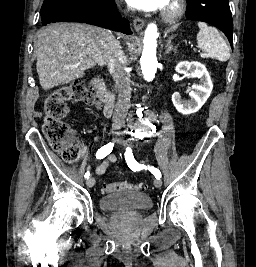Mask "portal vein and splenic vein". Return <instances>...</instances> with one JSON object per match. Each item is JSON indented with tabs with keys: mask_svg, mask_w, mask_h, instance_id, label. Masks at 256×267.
<instances>
[{
	"mask_svg": "<svg viewBox=\"0 0 256 267\" xmlns=\"http://www.w3.org/2000/svg\"><path fill=\"white\" fill-rule=\"evenodd\" d=\"M197 52L202 53L203 52V49L202 48H199V49H197Z\"/></svg>",
	"mask_w": 256,
	"mask_h": 267,
	"instance_id": "obj_1",
	"label": "portal vein and splenic vein"
}]
</instances>
